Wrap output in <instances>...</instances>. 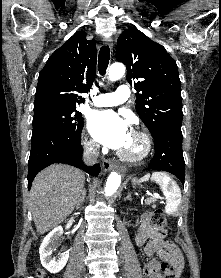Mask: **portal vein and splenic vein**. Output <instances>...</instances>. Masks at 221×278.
I'll return each instance as SVG.
<instances>
[{
  "instance_id": "portal-vein-and-splenic-vein-1",
  "label": "portal vein and splenic vein",
  "mask_w": 221,
  "mask_h": 278,
  "mask_svg": "<svg viewBox=\"0 0 221 278\" xmlns=\"http://www.w3.org/2000/svg\"><path fill=\"white\" fill-rule=\"evenodd\" d=\"M152 197H153L154 199L160 198V196H159L158 194H153ZM149 199H151V198H149ZM149 199H146L145 201H147V200H149Z\"/></svg>"
}]
</instances>
